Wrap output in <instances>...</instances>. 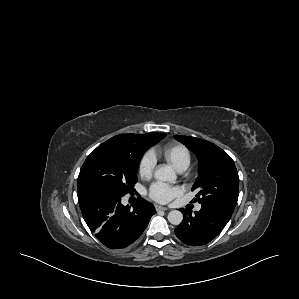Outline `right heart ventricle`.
<instances>
[{"mask_svg": "<svg viewBox=\"0 0 299 299\" xmlns=\"http://www.w3.org/2000/svg\"><path fill=\"white\" fill-rule=\"evenodd\" d=\"M159 152L178 171L186 170L191 163V152L181 143L167 144Z\"/></svg>", "mask_w": 299, "mask_h": 299, "instance_id": "obj_1", "label": "right heart ventricle"}]
</instances>
